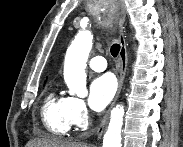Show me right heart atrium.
<instances>
[{
    "label": "right heart atrium",
    "instance_id": "right-heart-atrium-1",
    "mask_svg": "<svg viewBox=\"0 0 183 147\" xmlns=\"http://www.w3.org/2000/svg\"><path fill=\"white\" fill-rule=\"evenodd\" d=\"M70 118L80 128L87 126L90 114L83 100L71 97Z\"/></svg>",
    "mask_w": 183,
    "mask_h": 147
}]
</instances>
